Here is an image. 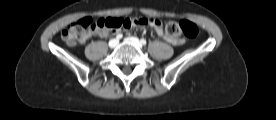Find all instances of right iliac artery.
<instances>
[{"instance_id": "1", "label": "right iliac artery", "mask_w": 276, "mask_h": 120, "mask_svg": "<svg viewBox=\"0 0 276 120\" xmlns=\"http://www.w3.org/2000/svg\"><path fill=\"white\" fill-rule=\"evenodd\" d=\"M122 37H123V35L121 33H119V34L116 35V39L117 40H120Z\"/></svg>"}]
</instances>
